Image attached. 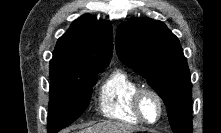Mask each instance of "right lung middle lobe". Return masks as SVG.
Segmentation results:
<instances>
[{
    "label": "right lung middle lobe",
    "mask_w": 221,
    "mask_h": 133,
    "mask_svg": "<svg viewBox=\"0 0 221 133\" xmlns=\"http://www.w3.org/2000/svg\"><path fill=\"white\" fill-rule=\"evenodd\" d=\"M109 63L74 67L50 74L48 133H57L74 122L87 108L99 72Z\"/></svg>",
    "instance_id": "1"
}]
</instances>
